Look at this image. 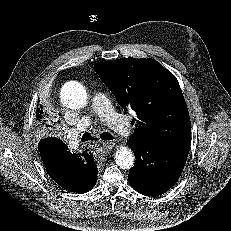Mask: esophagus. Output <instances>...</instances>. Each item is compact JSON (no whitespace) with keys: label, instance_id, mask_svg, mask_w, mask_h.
Wrapping results in <instances>:
<instances>
[{"label":"esophagus","instance_id":"esophagus-1","mask_svg":"<svg viewBox=\"0 0 231 231\" xmlns=\"http://www.w3.org/2000/svg\"><path fill=\"white\" fill-rule=\"evenodd\" d=\"M115 143L111 141H102L100 143V149L102 152H108L114 147Z\"/></svg>","mask_w":231,"mask_h":231}]
</instances>
